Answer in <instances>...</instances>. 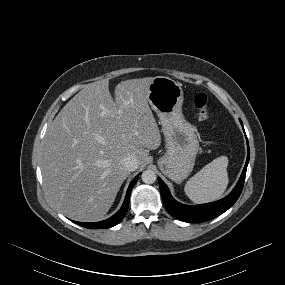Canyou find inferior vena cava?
I'll return each instance as SVG.
<instances>
[{"mask_svg":"<svg viewBox=\"0 0 285 285\" xmlns=\"http://www.w3.org/2000/svg\"><path fill=\"white\" fill-rule=\"evenodd\" d=\"M121 165L128 171H135L138 168V160L133 155L122 158Z\"/></svg>","mask_w":285,"mask_h":285,"instance_id":"obj_1","label":"inferior vena cava"}]
</instances>
